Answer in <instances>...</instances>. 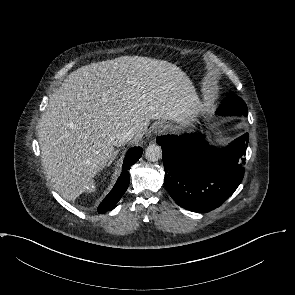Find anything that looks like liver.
<instances>
[{
    "instance_id": "obj_1",
    "label": "liver",
    "mask_w": 295,
    "mask_h": 295,
    "mask_svg": "<svg viewBox=\"0 0 295 295\" xmlns=\"http://www.w3.org/2000/svg\"><path fill=\"white\" fill-rule=\"evenodd\" d=\"M208 104L175 64L140 56L91 63L70 73L38 126L42 163L67 201L95 190L94 176L111 160L123 131L141 140L150 119L188 125Z\"/></svg>"
}]
</instances>
